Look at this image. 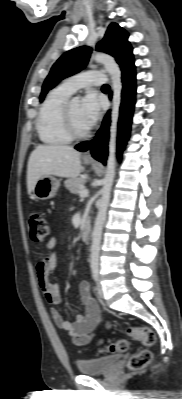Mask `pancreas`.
<instances>
[{
    "label": "pancreas",
    "instance_id": "1",
    "mask_svg": "<svg viewBox=\"0 0 182 399\" xmlns=\"http://www.w3.org/2000/svg\"><path fill=\"white\" fill-rule=\"evenodd\" d=\"M85 182L84 178H73L67 179L64 185L71 193L80 194L81 190L84 189Z\"/></svg>",
    "mask_w": 182,
    "mask_h": 399
}]
</instances>
